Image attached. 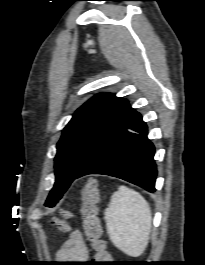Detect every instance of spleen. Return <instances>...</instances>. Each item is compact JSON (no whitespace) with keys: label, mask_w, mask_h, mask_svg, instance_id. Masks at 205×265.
Segmentation results:
<instances>
[{"label":"spleen","mask_w":205,"mask_h":265,"mask_svg":"<svg viewBox=\"0 0 205 265\" xmlns=\"http://www.w3.org/2000/svg\"><path fill=\"white\" fill-rule=\"evenodd\" d=\"M104 218L109 238L119 250L131 257L143 254L150 238L152 214L140 193L119 186L105 209Z\"/></svg>","instance_id":"spleen-1"}]
</instances>
